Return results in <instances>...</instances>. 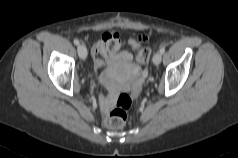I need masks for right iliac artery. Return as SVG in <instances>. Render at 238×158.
Wrapping results in <instances>:
<instances>
[{
    "label": "right iliac artery",
    "instance_id": "right-iliac-artery-1",
    "mask_svg": "<svg viewBox=\"0 0 238 158\" xmlns=\"http://www.w3.org/2000/svg\"><path fill=\"white\" fill-rule=\"evenodd\" d=\"M74 44H75V45H79L78 39H74Z\"/></svg>",
    "mask_w": 238,
    "mask_h": 158
}]
</instances>
